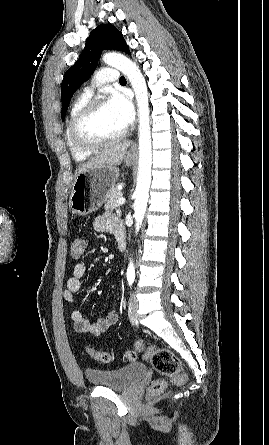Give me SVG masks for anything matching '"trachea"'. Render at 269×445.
<instances>
[{"label": "trachea", "mask_w": 269, "mask_h": 445, "mask_svg": "<svg viewBox=\"0 0 269 445\" xmlns=\"http://www.w3.org/2000/svg\"><path fill=\"white\" fill-rule=\"evenodd\" d=\"M120 82H125L126 81V79H125V77L124 76H122L121 78H120V80H119Z\"/></svg>", "instance_id": "trachea-1"}]
</instances>
